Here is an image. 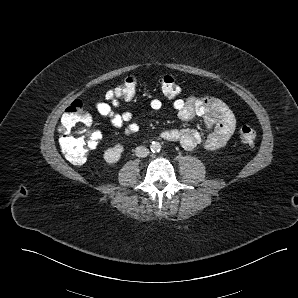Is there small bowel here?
<instances>
[{
    "mask_svg": "<svg viewBox=\"0 0 298 298\" xmlns=\"http://www.w3.org/2000/svg\"><path fill=\"white\" fill-rule=\"evenodd\" d=\"M107 101H98L94 108L96 112L109 119L116 128H122L127 136L140 130V125L133 121V113L130 111L119 112V100L110 98L106 94ZM149 106L153 111L161 110L163 103L154 98ZM173 110L179 119L190 121L195 117H201L207 129L210 130L206 137L190 128L171 129L163 132V137L178 141L181 146L189 151L203 146L208 150H217L223 147L232 136L235 127V115L229 106L219 98L208 95H194L187 98H177L173 102Z\"/></svg>",
    "mask_w": 298,
    "mask_h": 298,
    "instance_id": "c3829d8e",
    "label": "small bowel"
}]
</instances>
